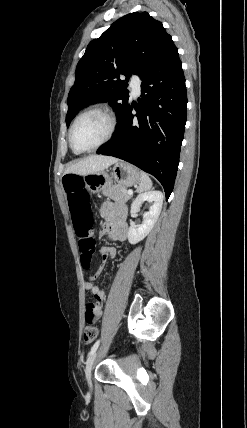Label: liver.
I'll return each mask as SVG.
<instances>
[{
  "label": "liver",
  "instance_id": "obj_1",
  "mask_svg": "<svg viewBox=\"0 0 247 428\" xmlns=\"http://www.w3.org/2000/svg\"><path fill=\"white\" fill-rule=\"evenodd\" d=\"M117 162H119V159L112 156L92 155L71 164L65 173L84 176L104 170Z\"/></svg>",
  "mask_w": 247,
  "mask_h": 428
}]
</instances>
